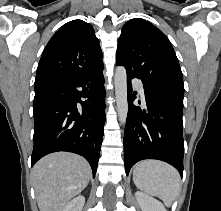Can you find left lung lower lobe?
<instances>
[{
  "mask_svg": "<svg viewBox=\"0 0 221 211\" xmlns=\"http://www.w3.org/2000/svg\"><path fill=\"white\" fill-rule=\"evenodd\" d=\"M134 77L137 76L127 72L129 109L124 133L126 174L140 160L158 159L173 165L182 177L184 93L174 89L149 87L143 83L147 107L141 110L132 104L136 98L131 85Z\"/></svg>",
  "mask_w": 221,
  "mask_h": 211,
  "instance_id": "left-lung-lower-lobe-1",
  "label": "left lung lower lobe"
}]
</instances>
